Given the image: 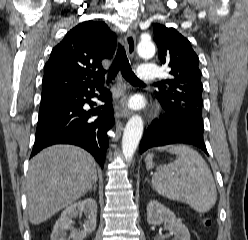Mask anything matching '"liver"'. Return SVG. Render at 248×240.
<instances>
[{
	"instance_id": "6515ba94",
	"label": "liver",
	"mask_w": 248,
	"mask_h": 240,
	"mask_svg": "<svg viewBox=\"0 0 248 240\" xmlns=\"http://www.w3.org/2000/svg\"><path fill=\"white\" fill-rule=\"evenodd\" d=\"M97 180L94 158L71 145H54L30 161L27 175L29 220L38 225L84 196Z\"/></svg>"
}]
</instances>
